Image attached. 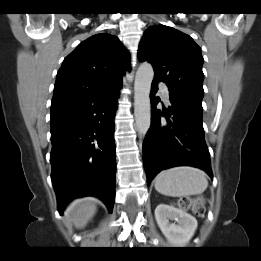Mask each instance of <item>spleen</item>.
I'll list each match as a JSON object with an SVG mask.
<instances>
[{
  "mask_svg": "<svg viewBox=\"0 0 261 261\" xmlns=\"http://www.w3.org/2000/svg\"><path fill=\"white\" fill-rule=\"evenodd\" d=\"M208 187L204 171L189 167H175L160 172L155 178V189L171 197L191 196L203 193Z\"/></svg>",
  "mask_w": 261,
  "mask_h": 261,
  "instance_id": "3e777b00",
  "label": "spleen"
}]
</instances>
